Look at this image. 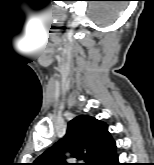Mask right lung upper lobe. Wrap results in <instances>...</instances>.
Segmentation results:
<instances>
[{"label":"right lung upper lobe","instance_id":"cb5924a9","mask_svg":"<svg viewBox=\"0 0 154 165\" xmlns=\"http://www.w3.org/2000/svg\"><path fill=\"white\" fill-rule=\"evenodd\" d=\"M111 138L107 125L95 118L80 115L68 123L67 132L49 150L40 155L33 165H70L64 152L93 165L104 144Z\"/></svg>","mask_w":154,"mask_h":165}]
</instances>
